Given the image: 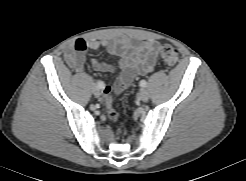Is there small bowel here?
<instances>
[{
	"label": "small bowel",
	"instance_id": "obj_1",
	"mask_svg": "<svg viewBox=\"0 0 246 181\" xmlns=\"http://www.w3.org/2000/svg\"><path fill=\"white\" fill-rule=\"evenodd\" d=\"M160 48V44L152 40L139 42L131 41L126 37H119L115 41L108 42L104 40L87 41L78 38L65 53V59L74 71L81 73L84 68L86 51L88 49H104L108 54L118 57L120 73L114 89L117 93H120L125 90L137 76L147 74L155 69ZM91 64L95 70L100 72H113L115 70L113 65L106 62L92 60ZM105 88L106 86L104 84L103 91ZM109 90L112 92V87H109Z\"/></svg>",
	"mask_w": 246,
	"mask_h": 181
}]
</instances>
